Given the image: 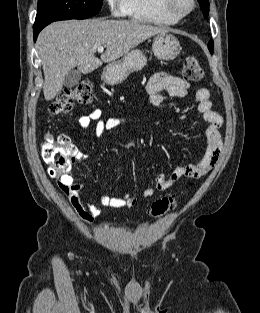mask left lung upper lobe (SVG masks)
Here are the masks:
<instances>
[{
	"instance_id": "1",
	"label": "left lung upper lobe",
	"mask_w": 260,
	"mask_h": 313,
	"mask_svg": "<svg viewBox=\"0 0 260 313\" xmlns=\"http://www.w3.org/2000/svg\"><path fill=\"white\" fill-rule=\"evenodd\" d=\"M198 2L201 5L204 17L207 18L208 14H209V0H198ZM208 49H209V51L211 53H213V51H214V44H213L212 40H210L209 43H208Z\"/></svg>"
}]
</instances>
